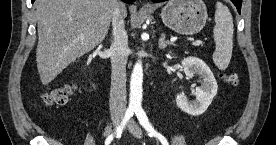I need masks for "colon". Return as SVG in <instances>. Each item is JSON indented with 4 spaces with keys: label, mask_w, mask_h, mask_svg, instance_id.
Listing matches in <instances>:
<instances>
[{
    "label": "colon",
    "mask_w": 276,
    "mask_h": 145,
    "mask_svg": "<svg viewBox=\"0 0 276 145\" xmlns=\"http://www.w3.org/2000/svg\"><path fill=\"white\" fill-rule=\"evenodd\" d=\"M227 79L236 82L237 76L231 74L227 76ZM72 93L73 89L70 86L57 87L43 94L42 101L46 106H61L68 101Z\"/></svg>",
    "instance_id": "colon-1"
}]
</instances>
